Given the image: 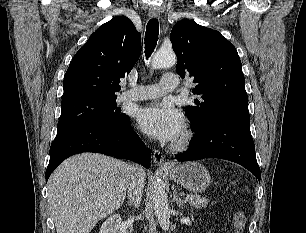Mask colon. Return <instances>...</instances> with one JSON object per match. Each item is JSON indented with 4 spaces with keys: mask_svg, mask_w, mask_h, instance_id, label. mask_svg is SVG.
Returning <instances> with one entry per match:
<instances>
[{
    "mask_svg": "<svg viewBox=\"0 0 306 233\" xmlns=\"http://www.w3.org/2000/svg\"><path fill=\"white\" fill-rule=\"evenodd\" d=\"M246 217L242 211H238L233 218V233H243Z\"/></svg>",
    "mask_w": 306,
    "mask_h": 233,
    "instance_id": "1",
    "label": "colon"
}]
</instances>
